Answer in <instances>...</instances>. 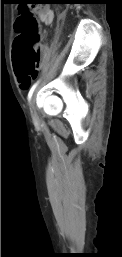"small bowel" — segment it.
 Instances as JSON below:
<instances>
[{"mask_svg":"<svg viewBox=\"0 0 122 257\" xmlns=\"http://www.w3.org/2000/svg\"><path fill=\"white\" fill-rule=\"evenodd\" d=\"M35 11L41 22H43L47 25H49L53 22L54 13L49 7H47V6L38 7V8H36ZM42 50H43L44 56L46 57L48 54V49L46 47H44ZM18 82L22 89H26L30 83V79H25V78L18 76Z\"/></svg>","mask_w":122,"mask_h":257,"instance_id":"c3829d8e","label":"small bowel"}]
</instances>
